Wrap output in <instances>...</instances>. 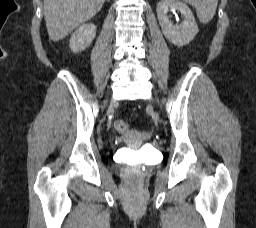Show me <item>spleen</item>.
I'll use <instances>...</instances> for the list:
<instances>
[{
    "instance_id": "3e777b00",
    "label": "spleen",
    "mask_w": 256,
    "mask_h": 228,
    "mask_svg": "<svg viewBox=\"0 0 256 228\" xmlns=\"http://www.w3.org/2000/svg\"><path fill=\"white\" fill-rule=\"evenodd\" d=\"M196 8L197 17L201 23L210 22L216 12L218 0H183Z\"/></svg>"
}]
</instances>
